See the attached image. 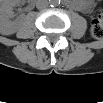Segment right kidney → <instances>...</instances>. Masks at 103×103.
<instances>
[{
    "mask_svg": "<svg viewBox=\"0 0 103 103\" xmlns=\"http://www.w3.org/2000/svg\"><path fill=\"white\" fill-rule=\"evenodd\" d=\"M19 3L18 0H4L0 5V32L3 35L14 34L18 30V21L10 20L13 8Z\"/></svg>",
    "mask_w": 103,
    "mask_h": 103,
    "instance_id": "ca27d5eb",
    "label": "right kidney"
}]
</instances>
